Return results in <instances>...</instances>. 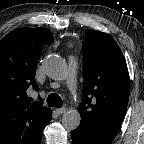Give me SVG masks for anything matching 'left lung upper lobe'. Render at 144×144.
Here are the masks:
<instances>
[{"label": "left lung upper lobe", "instance_id": "left-lung-upper-lobe-1", "mask_svg": "<svg viewBox=\"0 0 144 144\" xmlns=\"http://www.w3.org/2000/svg\"><path fill=\"white\" fill-rule=\"evenodd\" d=\"M82 102L78 128L113 141L125 116L130 83L125 58L106 33L89 30L83 42Z\"/></svg>", "mask_w": 144, "mask_h": 144}]
</instances>
